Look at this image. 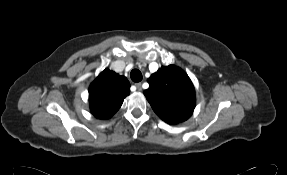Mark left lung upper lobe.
<instances>
[{"label": "left lung upper lobe", "mask_w": 287, "mask_h": 175, "mask_svg": "<svg viewBox=\"0 0 287 175\" xmlns=\"http://www.w3.org/2000/svg\"><path fill=\"white\" fill-rule=\"evenodd\" d=\"M144 91L154 112L165 122L177 124L187 120L195 108V90L188 75L179 67H161L147 80Z\"/></svg>", "instance_id": "5c2ea615"}]
</instances>
